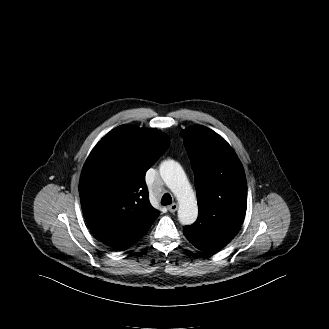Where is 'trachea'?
Masks as SVG:
<instances>
[{
    "mask_svg": "<svg viewBox=\"0 0 329 329\" xmlns=\"http://www.w3.org/2000/svg\"><path fill=\"white\" fill-rule=\"evenodd\" d=\"M172 203V197L169 193H165L161 199L162 205H170Z\"/></svg>",
    "mask_w": 329,
    "mask_h": 329,
    "instance_id": "obj_1",
    "label": "trachea"
}]
</instances>
